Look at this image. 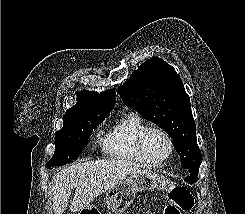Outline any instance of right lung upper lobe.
Returning <instances> with one entry per match:
<instances>
[{
    "label": "right lung upper lobe",
    "mask_w": 245,
    "mask_h": 214,
    "mask_svg": "<svg viewBox=\"0 0 245 214\" xmlns=\"http://www.w3.org/2000/svg\"><path fill=\"white\" fill-rule=\"evenodd\" d=\"M77 101V104L64 114L63 128L59 131L66 129L75 117L87 114H109L115 105V89L101 94L82 90L77 93Z\"/></svg>",
    "instance_id": "cb5924a9"
}]
</instances>
